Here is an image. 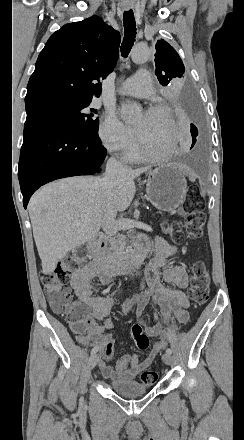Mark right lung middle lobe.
I'll use <instances>...</instances> for the list:
<instances>
[{
  "mask_svg": "<svg viewBox=\"0 0 244 440\" xmlns=\"http://www.w3.org/2000/svg\"><path fill=\"white\" fill-rule=\"evenodd\" d=\"M91 100V98H75L59 94L25 99L27 119H47L82 133H97L99 119L93 118L97 110L88 108Z\"/></svg>",
  "mask_w": 244,
  "mask_h": 440,
  "instance_id": "obj_1",
  "label": "right lung middle lobe"
}]
</instances>
